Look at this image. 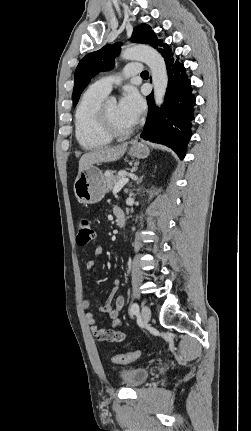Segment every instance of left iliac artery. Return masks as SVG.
Here are the masks:
<instances>
[{"mask_svg":"<svg viewBox=\"0 0 251 431\" xmlns=\"http://www.w3.org/2000/svg\"><path fill=\"white\" fill-rule=\"evenodd\" d=\"M139 312V306L137 303H133L129 308L130 315L137 314Z\"/></svg>","mask_w":251,"mask_h":431,"instance_id":"left-iliac-artery-1","label":"left iliac artery"}]
</instances>
